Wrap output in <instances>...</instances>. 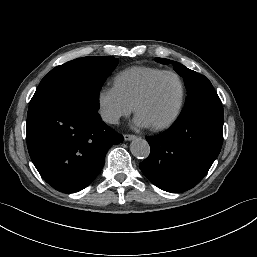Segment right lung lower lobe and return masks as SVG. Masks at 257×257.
<instances>
[{
    "label": "right lung lower lobe",
    "mask_w": 257,
    "mask_h": 257,
    "mask_svg": "<svg viewBox=\"0 0 257 257\" xmlns=\"http://www.w3.org/2000/svg\"><path fill=\"white\" fill-rule=\"evenodd\" d=\"M122 141L82 100L59 97L29 104V155L42 178L60 192L87 187L102 170L108 149Z\"/></svg>",
    "instance_id": "obj_1"
}]
</instances>
